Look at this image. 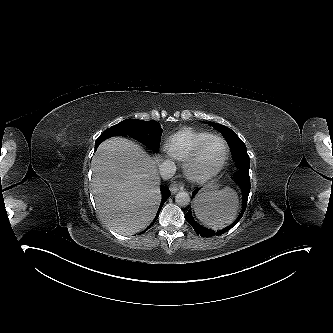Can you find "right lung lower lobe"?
Masks as SVG:
<instances>
[{
	"label": "right lung lower lobe",
	"instance_id": "obj_1",
	"mask_svg": "<svg viewBox=\"0 0 333 333\" xmlns=\"http://www.w3.org/2000/svg\"><path fill=\"white\" fill-rule=\"evenodd\" d=\"M111 136H117V135H115V134H113V133H108V132L104 131V132L98 137V139H97L96 142H95V151L97 150V148H98V146L100 145L101 142H103L104 140H106L107 138H109V137H111ZM161 193H162V201H161L160 207H159V209H158V212H157V214H156V216H155L153 222H152V223L146 228V230L149 229V228L155 223V221L157 220V218H158V216H159V213H160V211H161V208H162L163 204L166 202V200H167V199L169 198V196H170V191H169L168 188L162 187V188H161ZM146 230H144V232H145ZM142 233H143V232H142ZM142 233H140V234H142Z\"/></svg>",
	"mask_w": 333,
	"mask_h": 333
}]
</instances>
